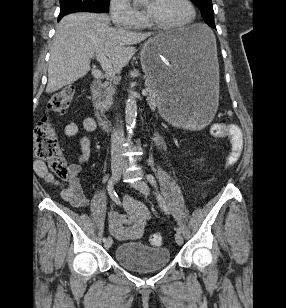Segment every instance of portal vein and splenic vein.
<instances>
[{
	"label": "portal vein and splenic vein",
	"instance_id": "portal-vein-and-splenic-vein-1",
	"mask_svg": "<svg viewBox=\"0 0 286 308\" xmlns=\"http://www.w3.org/2000/svg\"><path fill=\"white\" fill-rule=\"evenodd\" d=\"M97 60L99 61L101 67L103 68V70L112 78H115V72L113 69V66L111 65L110 61L107 59L106 55L104 53H96L95 54ZM148 89H145L142 91L143 95H147L148 94Z\"/></svg>",
	"mask_w": 286,
	"mask_h": 308
}]
</instances>
